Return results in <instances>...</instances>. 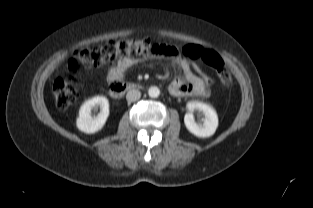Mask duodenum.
<instances>
[{"mask_svg": "<svg viewBox=\"0 0 313 208\" xmlns=\"http://www.w3.org/2000/svg\"><path fill=\"white\" fill-rule=\"evenodd\" d=\"M139 85L134 82H116L111 83L109 86V92L115 97H120L127 91L137 89Z\"/></svg>", "mask_w": 313, "mask_h": 208, "instance_id": "1", "label": "duodenum"}]
</instances>
